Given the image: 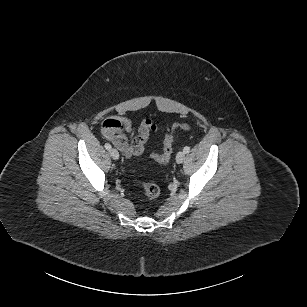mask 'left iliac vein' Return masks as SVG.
Returning a JSON list of instances; mask_svg holds the SVG:
<instances>
[{
  "instance_id": "1",
  "label": "left iliac vein",
  "mask_w": 307,
  "mask_h": 307,
  "mask_svg": "<svg viewBox=\"0 0 307 307\" xmlns=\"http://www.w3.org/2000/svg\"><path fill=\"white\" fill-rule=\"evenodd\" d=\"M185 159V152L184 151H179L176 155V161L178 164L182 163Z\"/></svg>"
}]
</instances>
